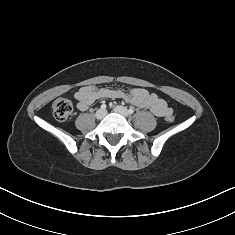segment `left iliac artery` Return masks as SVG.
Segmentation results:
<instances>
[{"instance_id":"44dca946","label":"left iliac artery","mask_w":235,"mask_h":235,"mask_svg":"<svg viewBox=\"0 0 235 235\" xmlns=\"http://www.w3.org/2000/svg\"><path fill=\"white\" fill-rule=\"evenodd\" d=\"M128 113H129V114H133V113H134V110L130 108V109L128 110Z\"/></svg>"}]
</instances>
